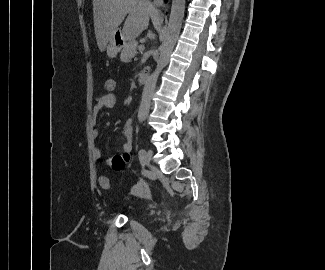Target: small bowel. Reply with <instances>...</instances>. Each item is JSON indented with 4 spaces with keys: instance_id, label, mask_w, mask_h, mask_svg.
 I'll list each match as a JSON object with an SVG mask.
<instances>
[{
    "instance_id": "small-bowel-1",
    "label": "small bowel",
    "mask_w": 325,
    "mask_h": 270,
    "mask_svg": "<svg viewBox=\"0 0 325 270\" xmlns=\"http://www.w3.org/2000/svg\"><path fill=\"white\" fill-rule=\"evenodd\" d=\"M117 105V96L115 93H105L95 98L92 115V131L91 135L93 139H97L100 135L99 130L96 128V118L100 111L103 109H113ZM122 134L125 138L122 150L123 155H115L109 161L108 164L113 170H121L124 168L127 161L131 159V152L133 148V125L132 120H127L123 126ZM92 156L98 160L101 157V150L98 147H94L92 150Z\"/></svg>"
}]
</instances>
